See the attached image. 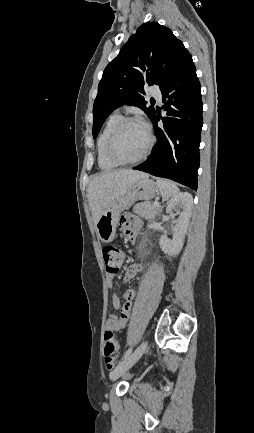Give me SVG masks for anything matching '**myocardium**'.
<instances>
[{"instance_id": "1", "label": "myocardium", "mask_w": 254, "mask_h": 433, "mask_svg": "<svg viewBox=\"0 0 254 433\" xmlns=\"http://www.w3.org/2000/svg\"><path fill=\"white\" fill-rule=\"evenodd\" d=\"M129 123H139L141 124L145 130H146V134L148 137V142L147 145L145 147V149L143 150V152L136 158L134 159H130V160H124L121 159L120 157H118L115 152H114V144H115V140L119 134V132L121 131V129L129 124ZM154 144V138L151 134V132L149 131V129L137 118L134 117H125L122 118L117 125L114 127V129L112 130V132L110 133L108 139H107V143H106V155L108 157L109 160H111L113 163L119 165H130V164H135L138 163L140 161H142L143 159L146 158V156L149 154L150 150L152 149Z\"/></svg>"}]
</instances>
